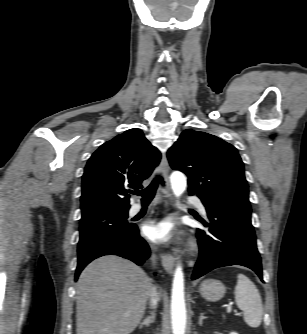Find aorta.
Returning a JSON list of instances; mask_svg holds the SVG:
<instances>
[{
	"label": "aorta",
	"instance_id": "obj_1",
	"mask_svg": "<svg viewBox=\"0 0 307 334\" xmlns=\"http://www.w3.org/2000/svg\"><path fill=\"white\" fill-rule=\"evenodd\" d=\"M171 187L174 195L180 197L186 189V177L178 171L170 176ZM171 326L173 334H185L186 329V305L184 292V275L182 267L178 265L174 272L171 293Z\"/></svg>",
	"mask_w": 307,
	"mask_h": 334
}]
</instances>
